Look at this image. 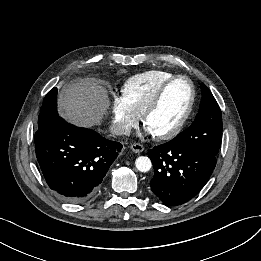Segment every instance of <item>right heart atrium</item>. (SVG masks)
Here are the masks:
<instances>
[{
  "mask_svg": "<svg viewBox=\"0 0 261 261\" xmlns=\"http://www.w3.org/2000/svg\"><path fill=\"white\" fill-rule=\"evenodd\" d=\"M111 114L112 128L118 134H128L139 121V115L131 108L122 95L114 96Z\"/></svg>",
  "mask_w": 261,
  "mask_h": 261,
  "instance_id": "right-heart-atrium-1",
  "label": "right heart atrium"
}]
</instances>
